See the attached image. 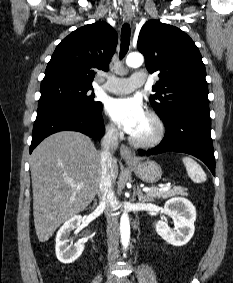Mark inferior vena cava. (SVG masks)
<instances>
[{
	"label": "inferior vena cava",
	"mask_w": 233,
	"mask_h": 283,
	"mask_svg": "<svg viewBox=\"0 0 233 283\" xmlns=\"http://www.w3.org/2000/svg\"><path fill=\"white\" fill-rule=\"evenodd\" d=\"M101 182L98 191L100 205L105 208L107 218L108 261L110 264L116 259L119 240V223L115 214L116 198L113 192L112 161L113 151L118 147V131L114 126L106 129L101 141Z\"/></svg>",
	"instance_id": "obj_1"
}]
</instances>
